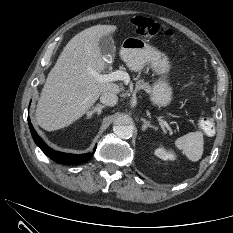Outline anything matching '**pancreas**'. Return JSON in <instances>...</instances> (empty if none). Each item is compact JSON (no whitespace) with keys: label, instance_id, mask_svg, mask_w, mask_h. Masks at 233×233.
Wrapping results in <instances>:
<instances>
[{"label":"pancreas","instance_id":"pancreas-1","mask_svg":"<svg viewBox=\"0 0 233 233\" xmlns=\"http://www.w3.org/2000/svg\"><path fill=\"white\" fill-rule=\"evenodd\" d=\"M136 87V90H144L145 92H147V93H151V91H152V88H151V86L149 85V83L148 82H145L144 80H138L137 82H136V85H135Z\"/></svg>","mask_w":233,"mask_h":233}]
</instances>
